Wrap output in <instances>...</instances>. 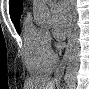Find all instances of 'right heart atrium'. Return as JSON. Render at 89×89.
Returning a JSON list of instances; mask_svg holds the SVG:
<instances>
[{
    "mask_svg": "<svg viewBox=\"0 0 89 89\" xmlns=\"http://www.w3.org/2000/svg\"><path fill=\"white\" fill-rule=\"evenodd\" d=\"M44 45L48 52L52 53V40L49 33L44 32Z\"/></svg>",
    "mask_w": 89,
    "mask_h": 89,
    "instance_id": "right-heart-atrium-1",
    "label": "right heart atrium"
}]
</instances>
